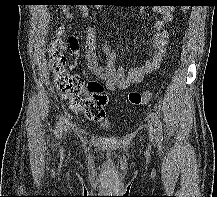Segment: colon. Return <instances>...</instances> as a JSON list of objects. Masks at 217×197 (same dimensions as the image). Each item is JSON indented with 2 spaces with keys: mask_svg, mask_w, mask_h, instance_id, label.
<instances>
[{
  "mask_svg": "<svg viewBox=\"0 0 217 197\" xmlns=\"http://www.w3.org/2000/svg\"><path fill=\"white\" fill-rule=\"evenodd\" d=\"M188 8L183 7V14ZM66 51L64 28L58 27L49 46V66L53 72L57 90L71 109L82 112L91 120H103L106 115L105 107L108 101L104 87L96 81L85 83L79 75L69 71ZM152 98L153 94L149 91L131 92L128 95V101L132 105L146 104Z\"/></svg>",
  "mask_w": 217,
  "mask_h": 197,
  "instance_id": "colon-1",
  "label": "colon"
}]
</instances>
